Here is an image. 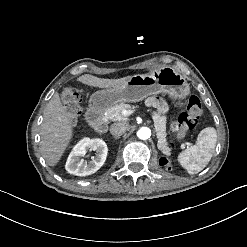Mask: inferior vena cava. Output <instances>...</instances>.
<instances>
[{"mask_svg":"<svg viewBox=\"0 0 247 247\" xmlns=\"http://www.w3.org/2000/svg\"><path fill=\"white\" fill-rule=\"evenodd\" d=\"M128 130V124L125 122H115L110 126V133L114 136L123 135Z\"/></svg>","mask_w":247,"mask_h":247,"instance_id":"inferior-vena-cava-1","label":"inferior vena cava"}]
</instances>
